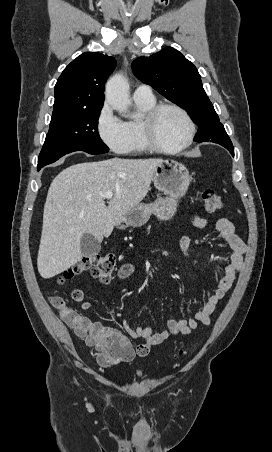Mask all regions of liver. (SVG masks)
<instances>
[{
	"label": "liver",
	"instance_id": "6515ba94",
	"mask_svg": "<svg viewBox=\"0 0 272 452\" xmlns=\"http://www.w3.org/2000/svg\"><path fill=\"white\" fill-rule=\"evenodd\" d=\"M162 159L112 158L74 164L52 181L43 212L37 257L38 271L52 278L82 259L81 237L89 233L99 242L109 236L125 215L150 190ZM114 197L105 204L103 194Z\"/></svg>",
	"mask_w": 272,
	"mask_h": 452
}]
</instances>
